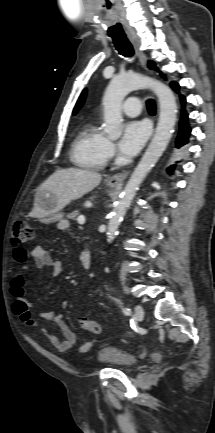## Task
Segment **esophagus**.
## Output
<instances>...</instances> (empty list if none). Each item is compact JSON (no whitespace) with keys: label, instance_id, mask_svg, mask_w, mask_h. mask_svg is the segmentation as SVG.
Here are the masks:
<instances>
[{"label":"esophagus","instance_id":"34e87169","mask_svg":"<svg viewBox=\"0 0 215 433\" xmlns=\"http://www.w3.org/2000/svg\"><path fill=\"white\" fill-rule=\"evenodd\" d=\"M128 38H129L130 42L132 43V45L136 51V54L139 58L140 64L143 67H146L147 58L140 47V41H139L137 34L135 32L128 33ZM128 173H129L128 171H123L121 173L115 174V175L109 177L107 182L109 185H112V186L122 185V183L126 179Z\"/></svg>","mask_w":215,"mask_h":433}]
</instances>
